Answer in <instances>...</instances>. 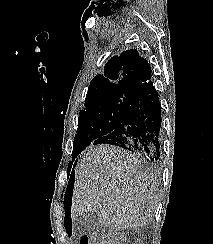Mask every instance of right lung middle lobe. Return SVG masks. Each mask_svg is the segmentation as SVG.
<instances>
[{
  "label": "right lung middle lobe",
  "instance_id": "1",
  "mask_svg": "<svg viewBox=\"0 0 213 244\" xmlns=\"http://www.w3.org/2000/svg\"><path fill=\"white\" fill-rule=\"evenodd\" d=\"M136 96L116 94L92 100L80 111L77 133L74 138V159L96 139L116 129ZM72 162L69 163V168Z\"/></svg>",
  "mask_w": 213,
  "mask_h": 244
}]
</instances>
